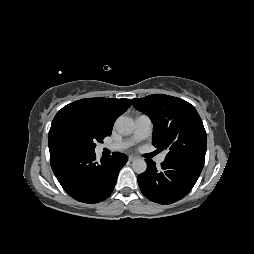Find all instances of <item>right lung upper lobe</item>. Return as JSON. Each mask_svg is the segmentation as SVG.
Segmentation results:
<instances>
[{"label":"right lung upper lobe","mask_w":254,"mask_h":254,"mask_svg":"<svg viewBox=\"0 0 254 254\" xmlns=\"http://www.w3.org/2000/svg\"><path fill=\"white\" fill-rule=\"evenodd\" d=\"M131 105L129 99L89 98L64 106L55 115L48 135L49 149L59 145L56 131L60 123L71 116L89 118L97 121L111 135L113 123Z\"/></svg>","instance_id":"cb5924a9"}]
</instances>
